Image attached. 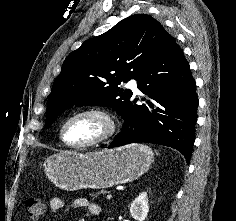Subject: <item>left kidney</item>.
I'll return each mask as SVG.
<instances>
[{"label":"left kidney","instance_id":"1","mask_svg":"<svg viewBox=\"0 0 236 221\" xmlns=\"http://www.w3.org/2000/svg\"><path fill=\"white\" fill-rule=\"evenodd\" d=\"M149 212L148 196L146 192L139 194L131 203L130 214L137 221H144Z\"/></svg>","mask_w":236,"mask_h":221}]
</instances>
